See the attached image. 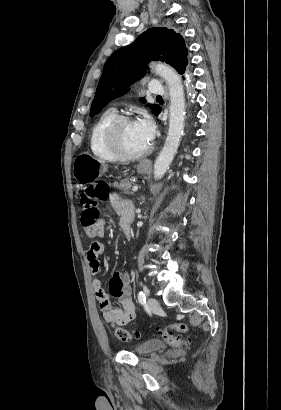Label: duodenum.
Returning <instances> with one entry per match:
<instances>
[{"label":"duodenum","instance_id":"obj_1","mask_svg":"<svg viewBox=\"0 0 281 410\" xmlns=\"http://www.w3.org/2000/svg\"><path fill=\"white\" fill-rule=\"evenodd\" d=\"M121 228H122V234L124 236V239L126 241H128L130 239V228H129V226L124 224V225L121 226Z\"/></svg>","mask_w":281,"mask_h":410}]
</instances>
